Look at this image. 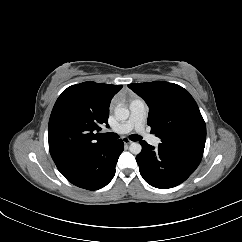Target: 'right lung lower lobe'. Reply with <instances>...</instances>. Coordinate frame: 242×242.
Instances as JSON below:
<instances>
[{
  "label": "right lung lower lobe",
  "instance_id": "right-lung-lower-lobe-1",
  "mask_svg": "<svg viewBox=\"0 0 242 242\" xmlns=\"http://www.w3.org/2000/svg\"><path fill=\"white\" fill-rule=\"evenodd\" d=\"M123 150L121 139L107 141L84 151L58 170L72 184L97 190L106 186L114 177L115 166Z\"/></svg>",
  "mask_w": 242,
  "mask_h": 242
}]
</instances>
